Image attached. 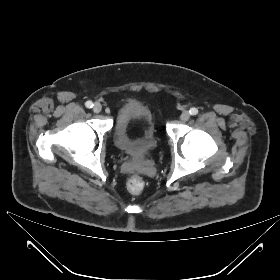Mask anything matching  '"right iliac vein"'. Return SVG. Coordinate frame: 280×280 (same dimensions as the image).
I'll return each mask as SVG.
<instances>
[{"instance_id": "1", "label": "right iliac vein", "mask_w": 280, "mask_h": 280, "mask_svg": "<svg viewBox=\"0 0 280 280\" xmlns=\"http://www.w3.org/2000/svg\"><path fill=\"white\" fill-rule=\"evenodd\" d=\"M102 110V105L100 103H95L93 107V111L95 113H99Z\"/></svg>"}]
</instances>
